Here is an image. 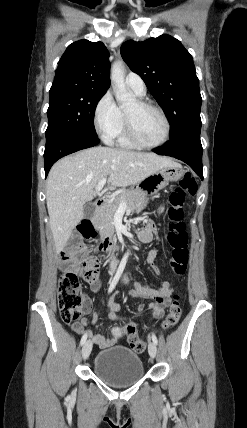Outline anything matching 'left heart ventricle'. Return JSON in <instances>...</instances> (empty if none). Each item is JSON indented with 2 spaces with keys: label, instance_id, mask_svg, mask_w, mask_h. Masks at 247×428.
<instances>
[{
  "label": "left heart ventricle",
  "instance_id": "obj_1",
  "mask_svg": "<svg viewBox=\"0 0 247 428\" xmlns=\"http://www.w3.org/2000/svg\"><path fill=\"white\" fill-rule=\"evenodd\" d=\"M125 112L140 140L146 143H157L163 138L165 125L155 110L139 107L136 102H133L125 109Z\"/></svg>",
  "mask_w": 247,
  "mask_h": 428
}]
</instances>
